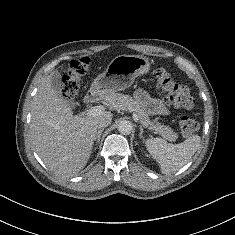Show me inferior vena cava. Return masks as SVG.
Listing matches in <instances>:
<instances>
[{
  "instance_id": "inferior-vena-cava-1",
  "label": "inferior vena cava",
  "mask_w": 235,
  "mask_h": 235,
  "mask_svg": "<svg viewBox=\"0 0 235 235\" xmlns=\"http://www.w3.org/2000/svg\"><path fill=\"white\" fill-rule=\"evenodd\" d=\"M111 121H112V118L109 117V116H105V117H102L98 120L97 122V127L98 129L100 128H104V127H107L108 125L111 124Z\"/></svg>"
}]
</instances>
